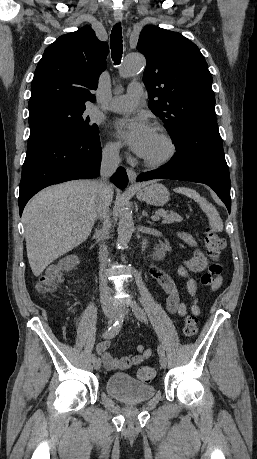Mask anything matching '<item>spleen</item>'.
<instances>
[{"instance_id": "1", "label": "spleen", "mask_w": 257, "mask_h": 459, "mask_svg": "<svg viewBox=\"0 0 257 459\" xmlns=\"http://www.w3.org/2000/svg\"><path fill=\"white\" fill-rule=\"evenodd\" d=\"M175 191L190 197L199 204L202 211L206 214L209 221V226L212 230L216 232L223 231V222L221 217L219 216L217 209L211 203H209L204 197L200 196L198 192L191 188L180 187L175 189Z\"/></svg>"}]
</instances>
